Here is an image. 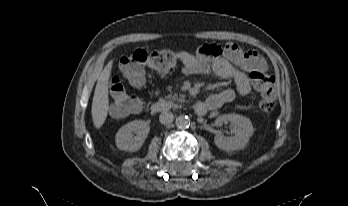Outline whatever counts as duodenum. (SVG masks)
<instances>
[{"label": "duodenum", "mask_w": 348, "mask_h": 206, "mask_svg": "<svg viewBox=\"0 0 348 206\" xmlns=\"http://www.w3.org/2000/svg\"><path fill=\"white\" fill-rule=\"evenodd\" d=\"M171 105L167 101L159 100L151 105V111L153 113H165L170 111ZM210 110V102L207 103H197L194 107V111L197 115H205Z\"/></svg>", "instance_id": "410a0bca"}]
</instances>
